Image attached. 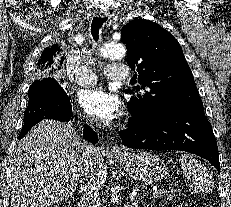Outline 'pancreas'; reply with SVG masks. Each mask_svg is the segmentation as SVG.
Returning a JSON list of instances; mask_svg holds the SVG:
<instances>
[{
	"label": "pancreas",
	"instance_id": "1",
	"mask_svg": "<svg viewBox=\"0 0 231 207\" xmlns=\"http://www.w3.org/2000/svg\"><path fill=\"white\" fill-rule=\"evenodd\" d=\"M164 196H165V198H167V200H169V201L173 200V196H172L169 192H166V193L164 194Z\"/></svg>",
	"mask_w": 231,
	"mask_h": 207
}]
</instances>
